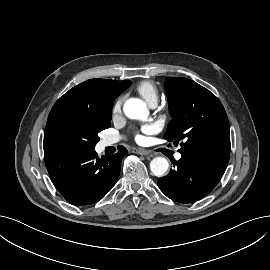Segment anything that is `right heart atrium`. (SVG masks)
I'll return each instance as SVG.
<instances>
[{"mask_svg": "<svg viewBox=\"0 0 270 270\" xmlns=\"http://www.w3.org/2000/svg\"><path fill=\"white\" fill-rule=\"evenodd\" d=\"M122 103H123V97H119L114 105H113V108H112V113H113V116L114 117H117L120 115L121 113V109H122Z\"/></svg>", "mask_w": 270, "mask_h": 270, "instance_id": "obj_1", "label": "right heart atrium"}]
</instances>
